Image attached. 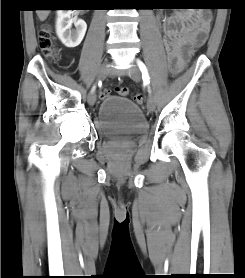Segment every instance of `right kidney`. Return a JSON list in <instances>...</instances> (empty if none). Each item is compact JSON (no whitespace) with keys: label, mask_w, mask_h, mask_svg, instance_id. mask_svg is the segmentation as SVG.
<instances>
[{"label":"right kidney","mask_w":245,"mask_h":278,"mask_svg":"<svg viewBox=\"0 0 245 278\" xmlns=\"http://www.w3.org/2000/svg\"><path fill=\"white\" fill-rule=\"evenodd\" d=\"M71 14L72 10H57L56 33L66 47L75 48L83 40L87 24L82 19L72 17Z\"/></svg>","instance_id":"obj_1"}]
</instances>
